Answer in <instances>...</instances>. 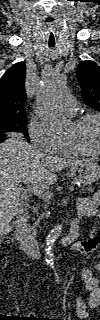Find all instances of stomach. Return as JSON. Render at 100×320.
Instances as JSON below:
<instances>
[{
    "mask_svg": "<svg viewBox=\"0 0 100 320\" xmlns=\"http://www.w3.org/2000/svg\"><path fill=\"white\" fill-rule=\"evenodd\" d=\"M70 177L81 184H92L100 178V166L93 159H82L70 166Z\"/></svg>",
    "mask_w": 100,
    "mask_h": 320,
    "instance_id": "0dacf381",
    "label": "stomach"
}]
</instances>
